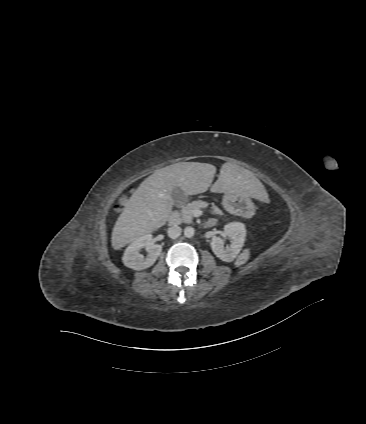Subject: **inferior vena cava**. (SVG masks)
Listing matches in <instances>:
<instances>
[{"mask_svg":"<svg viewBox=\"0 0 366 424\" xmlns=\"http://www.w3.org/2000/svg\"><path fill=\"white\" fill-rule=\"evenodd\" d=\"M182 229L179 226H172L168 228V236L172 239H176L181 235Z\"/></svg>","mask_w":366,"mask_h":424,"instance_id":"inferior-vena-cava-1","label":"inferior vena cava"}]
</instances>
